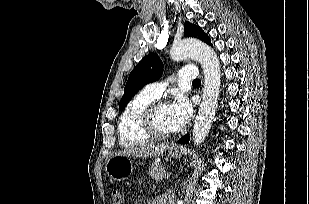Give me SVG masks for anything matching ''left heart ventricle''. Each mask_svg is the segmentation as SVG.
Returning a JSON list of instances; mask_svg holds the SVG:
<instances>
[{"label": "left heart ventricle", "instance_id": "1", "mask_svg": "<svg viewBox=\"0 0 309 204\" xmlns=\"http://www.w3.org/2000/svg\"><path fill=\"white\" fill-rule=\"evenodd\" d=\"M155 124L156 127L163 132H171L175 130L168 105L162 106L157 110Z\"/></svg>", "mask_w": 309, "mask_h": 204}]
</instances>
